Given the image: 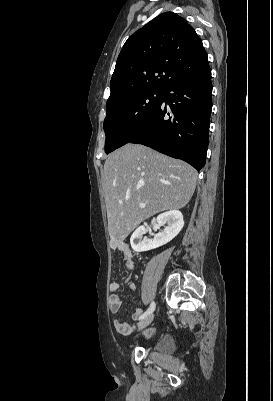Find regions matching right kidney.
<instances>
[{"instance_id":"obj_1","label":"right kidney","mask_w":273,"mask_h":401,"mask_svg":"<svg viewBox=\"0 0 273 401\" xmlns=\"http://www.w3.org/2000/svg\"><path fill=\"white\" fill-rule=\"evenodd\" d=\"M156 225H158V227L168 225V227H165L164 231H161V233H157L153 241L152 239H147V237L143 239V235L147 233L145 227H138V229L134 231L130 239L133 251H136V253L151 251V249H157V247H162V245H166V243L172 241L184 227L183 215L180 211H167V213L158 215Z\"/></svg>"}]
</instances>
